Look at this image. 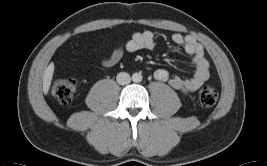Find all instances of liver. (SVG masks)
Segmentation results:
<instances>
[{"label": "liver", "instance_id": "1", "mask_svg": "<svg viewBox=\"0 0 267 166\" xmlns=\"http://www.w3.org/2000/svg\"><path fill=\"white\" fill-rule=\"evenodd\" d=\"M54 63L51 62L48 67L44 70L43 73V93L46 95L49 92L50 89V85H51V81H52V77H53V73H54Z\"/></svg>", "mask_w": 267, "mask_h": 166}]
</instances>
